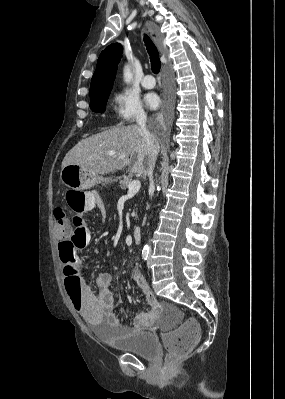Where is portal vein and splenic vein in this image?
<instances>
[{
    "instance_id": "1",
    "label": "portal vein and splenic vein",
    "mask_w": 285,
    "mask_h": 399,
    "mask_svg": "<svg viewBox=\"0 0 285 399\" xmlns=\"http://www.w3.org/2000/svg\"><path fill=\"white\" fill-rule=\"evenodd\" d=\"M124 155H121L123 158ZM141 182L139 180L132 181L128 186V194L137 193L140 190Z\"/></svg>"
}]
</instances>
